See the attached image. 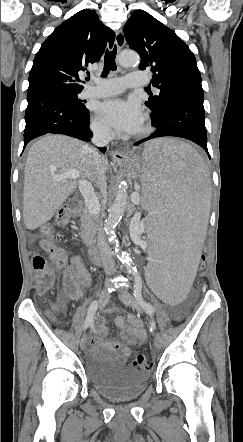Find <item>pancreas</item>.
Returning a JSON list of instances; mask_svg holds the SVG:
<instances>
[{
    "mask_svg": "<svg viewBox=\"0 0 243 442\" xmlns=\"http://www.w3.org/2000/svg\"><path fill=\"white\" fill-rule=\"evenodd\" d=\"M97 227L98 218L89 211L88 207H86L80 217V236L85 244H94Z\"/></svg>",
    "mask_w": 243,
    "mask_h": 442,
    "instance_id": "pancreas-1",
    "label": "pancreas"
}]
</instances>
